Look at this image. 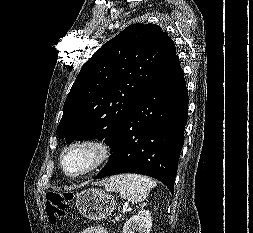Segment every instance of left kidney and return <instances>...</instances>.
Masks as SVG:
<instances>
[{
	"instance_id": "1",
	"label": "left kidney",
	"mask_w": 253,
	"mask_h": 233,
	"mask_svg": "<svg viewBox=\"0 0 253 233\" xmlns=\"http://www.w3.org/2000/svg\"><path fill=\"white\" fill-rule=\"evenodd\" d=\"M151 226V213L149 210H141L125 222L123 233H150Z\"/></svg>"
}]
</instances>
